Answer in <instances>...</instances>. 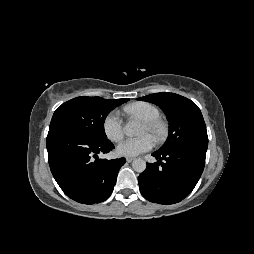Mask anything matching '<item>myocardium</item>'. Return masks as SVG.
Segmentation results:
<instances>
[{
	"instance_id": "obj_1",
	"label": "myocardium",
	"mask_w": 254,
	"mask_h": 254,
	"mask_svg": "<svg viewBox=\"0 0 254 254\" xmlns=\"http://www.w3.org/2000/svg\"><path fill=\"white\" fill-rule=\"evenodd\" d=\"M143 124L148 128V130L151 133V136L156 142H161L163 141L168 133V126L167 124L159 119H154V120H147L143 121Z\"/></svg>"
}]
</instances>
